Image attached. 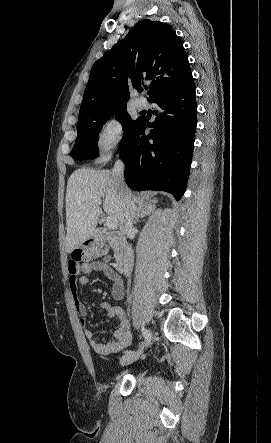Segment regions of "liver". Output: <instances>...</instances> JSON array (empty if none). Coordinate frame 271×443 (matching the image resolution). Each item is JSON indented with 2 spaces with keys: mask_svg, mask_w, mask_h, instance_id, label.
Masks as SVG:
<instances>
[{
  "mask_svg": "<svg viewBox=\"0 0 271 443\" xmlns=\"http://www.w3.org/2000/svg\"><path fill=\"white\" fill-rule=\"evenodd\" d=\"M134 204L155 206L156 198L144 202V198L131 194ZM103 200L104 212L116 218L120 225L123 218V200L118 194L110 170L81 168L71 174L66 190V251L72 253L94 233L101 208L93 204Z\"/></svg>",
  "mask_w": 271,
  "mask_h": 443,
  "instance_id": "6515ba94",
  "label": "liver"
}]
</instances>
